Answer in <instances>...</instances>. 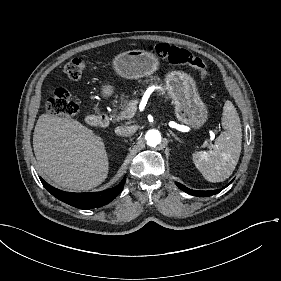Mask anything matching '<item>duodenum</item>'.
<instances>
[{
    "instance_id": "obj_1",
    "label": "duodenum",
    "mask_w": 281,
    "mask_h": 281,
    "mask_svg": "<svg viewBox=\"0 0 281 281\" xmlns=\"http://www.w3.org/2000/svg\"><path fill=\"white\" fill-rule=\"evenodd\" d=\"M85 120L88 124L93 126L107 125L110 122V117L107 114L97 115H87Z\"/></svg>"
}]
</instances>
